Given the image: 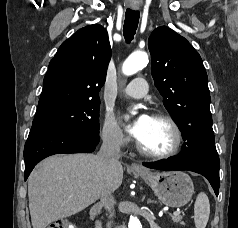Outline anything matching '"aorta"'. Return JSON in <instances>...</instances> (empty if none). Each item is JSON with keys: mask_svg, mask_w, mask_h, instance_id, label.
Segmentation results:
<instances>
[{"mask_svg": "<svg viewBox=\"0 0 238 228\" xmlns=\"http://www.w3.org/2000/svg\"><path fill=\"white\" fill-rule=\"evenodd\" d=\"M149 62L146 52L138 51L132 53L123 63V74L130 76L147 66ZM128 228H142L140 220L136 216H130Z\"/></svg>", "mask_w": 238, "mask_h": 228, "instance_id": "aorta-1", "label": "aorta"}]
</instances>
